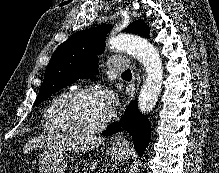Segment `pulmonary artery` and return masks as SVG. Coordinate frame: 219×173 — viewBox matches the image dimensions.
<instances>
[{"label": "pulmonary artery", "mask_w": 219, "mask_h": 173, "mask_svg": "<svg viewBox=\"0 0 219 173\" xmlns=\"http://www.w3.org/2000/svg\"><path fill=\"white\" fill-rule=\"evenodd\" d=\"M108 68L112 71H126L129 69V60L125 57L113 56L108 60Z\"/></svg>", "instance_id": "obj_1"}]
</instances>
